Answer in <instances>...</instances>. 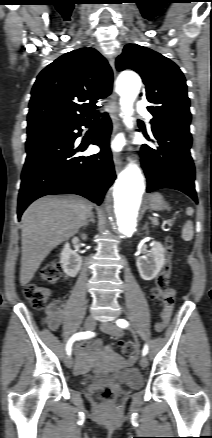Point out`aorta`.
Returning <instances> with one entry per match:
<instances>
[{"mask_svg": "<svg viewBox=\"0 0 212 438\" xmlns=\"http://www.w3.org/2000/svg\"><path fill=\"white\" fill-rule=\"evenodd\" d=\"M140 87L141 79L135 73H123L118 79L117 90L121 97L122 117L128 128L133 127L132 106ZM144 190L141 170L136 164L130 163L116 180L110 206L116 232L121 237H129L136 230Z\"/></svg>", "mask_w": 212, "mask_h": 438, "instance_id": "762f6f07", "label": "aorta"}]
</instances>
